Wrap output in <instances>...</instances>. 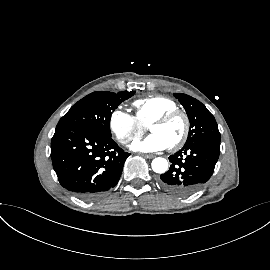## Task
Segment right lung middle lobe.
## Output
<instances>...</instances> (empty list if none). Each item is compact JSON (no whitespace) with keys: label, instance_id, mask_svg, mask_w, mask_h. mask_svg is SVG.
<instances>
[{"label":"right lung middle lobe","instance_id":"obj_1","mask_svg":"<svg viewBox=\"0 0 270 270\" xmlns=\"http://www.w3.org/2000/svg\"><path fill=\"white\" fill-rule=\"evenodd\" d=\"M134 93L135 91L93 92L73 105L60 119L56 128L81 127L111 137L109 124L112 112Z\"/></svg>","mask_w":270,"mask_h":270}]
</instances>
